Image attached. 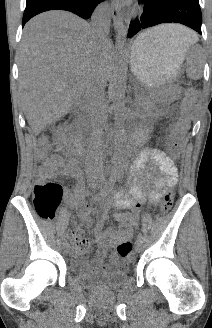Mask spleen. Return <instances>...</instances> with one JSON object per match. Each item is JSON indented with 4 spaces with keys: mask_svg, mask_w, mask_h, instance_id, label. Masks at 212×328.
I'll return each instance as SVG.
<instances>
[{
    "mask_svg": "<svg viewBox=\"0 0 212 328\" xmlns=\"http://www.w3.org/2000/svg\"><path fill=\"white\" fill-rule=\"evenodd\" d=\"M149 38H151V37H150L149 35H147L146 32H144V33L140 34V35L136 38L134 44H137V45H138V44L143 45V44L147 41V39H149ZM143 39H145V40H143ZM192 43H193V42H190L189 44H187V45L185 46L184 52L186 51V49H187ZM187 74H188L189 76L193 77V78H200V76H201L200 73H196V72H194V71H191L190 69H188Z\"/></svg>",
    "mask_w": 212,
    "mask_h": 328,
    "instance_id": "spleen-1",
    "label": "spleen"
}]
</instances>
